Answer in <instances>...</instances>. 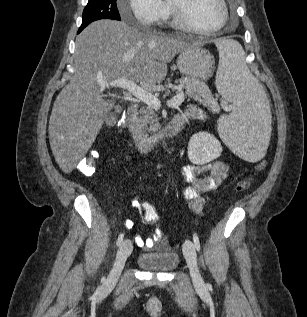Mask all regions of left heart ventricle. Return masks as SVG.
<instances>
[{
    "instance_id": "b2bd125f",
    "label": "left heart ventricle",
    "mask_w": 307,
    "mask_h": 317,
    "mask_svg": "<svg viewBox=\"0 0 307 317\" xmlns=\"http://www.w3.org/2000/svg\"><path fill=\"white\" fill-rule=\"evenodd\" d=\"M186 15L190 23L200 30L215 28L222 18L218 0H189Z\"/></svg>"
}]
</instances>
